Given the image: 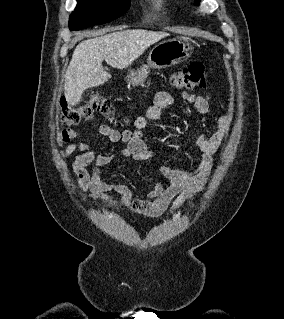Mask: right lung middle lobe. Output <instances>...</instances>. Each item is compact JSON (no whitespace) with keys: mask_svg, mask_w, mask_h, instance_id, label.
<instances>
[{"mask_svg":"<svg viewBox=\"0 0 284 319\" xmlns=\"http://www.w3.org/2000/svg\"><path fill=\"white\" fill-rule=\"evenodd\" d=\"M130 0H78L70 16L69 29L80 30L112 21L129 8Z\"/></svg>","mask_w":284,"mask_h":319,"instance_id":"obj_1","label":"right lung middle lobe"}]
</instances>
